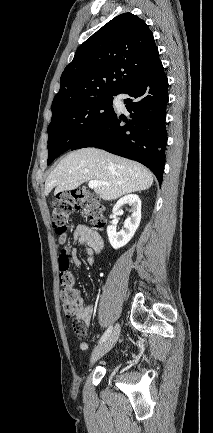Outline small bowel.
<instances>
[{"mask_svg":"<svg viewBox=\"0 0 213 433\" xmlns=\"http://www.w3.org/2000/svg\"><path fill=\"white\" fill-rule=\"evenodd\" d=\"M67 239V234H60L58 237V242L60 245L64 244ZM73 239L79 244L83 251L87 255V263L89 265L94 264L95 258L103 250L104 244L100 236L89 229L85 225H77L73 231ZM70 261L75 266H80L81 262L78 258L77 251L75 249L71 250L69 253ZM80 298V295H79ZM93 314L92 306H80L76 314L77 320L81 322L82 334L80 336H85L87 330L91 324V318ZM82 351L88 350V343L81 342L79 345Z\"/></svg>","mask_w":213,"mask_h":433,"instance_id":"obj_1","label":"small bowel"}]
</instances>
